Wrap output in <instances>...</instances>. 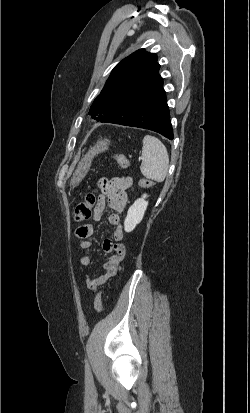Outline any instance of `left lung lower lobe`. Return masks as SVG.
Wrapping results in <instances>:
<instances>
[{
  "label": "left lung lower lobe",
  "instance_id": "0a47b994",
  "mask_svg": "<svg viewBox=\"0 0 250 413\" xmlns=\"http://www.w3.org/2000/svg\"><path fill=\"white\" fill-rule=\"evenodd\" d=\"M100 122L149 129L173 139L162 78L138 84L132 96L125 99L119 109L103 117Z\"/></svg>",
  "mask_w": 250,
  "mask_h": 413
}]
</instances>
